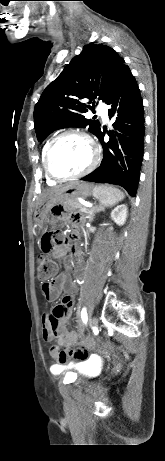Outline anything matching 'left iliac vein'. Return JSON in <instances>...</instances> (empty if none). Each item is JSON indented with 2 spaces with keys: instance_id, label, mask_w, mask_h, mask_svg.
Listing matches in <instances>:
<instances>
[{
  "instance_id": "4c4485c4",
  "label": "left iliac vein",
  "mask_w": 165,
  "mask_h": 461,
  "mask_svg": "<svg viewBox=\"0 0 165 461\" xmlns=\"http://www.w3.org/2000/svg\"><path fill=\"white\" fill-rule=\"evenodd\" d=\"M91 325L92 327H97L98 326V318L97 317H93L92 320H91Z\"/></svg>"
}]
</instances>
